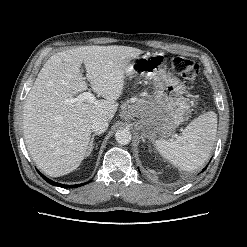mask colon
<instances>
[{"label":"colon","mask_w":247,"mask_h":247,"mask_svg":"<svg viewBox=\"0 0 247 247\" xmlns=\"http://www.w3.org/2000/svg\"><path fill=\"white\" fill-rule=\"evenodd\" d=\"M173 70L180 75L185 82L194 83L199 73V66L192 60L177 56L172 60Z\"/></svg>","instance_id":"1"}]
</instances>
